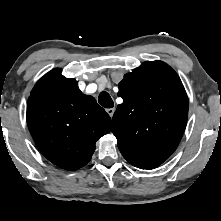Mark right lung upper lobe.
I'll use <instances>...</instances> for the list:
<instances>
[{
    "instance_id": "1",
    "label": "right lung upper lobe",
    "mask_w": 221,
    "mask_h": 221,
    "mask_svg": "<svg viewBox=\"0 0 221 221\" xmlns=\"http://www.w3.org/2000/svg\"><path fill=\"white\" fill-rule=\"evenodd\" d=\"M27 124L41 153L66 170L85 166L95 143L111 130V118L94 97L84 95L75 79L56 68L32 89Z\"/></svg>"
}]
</instances>
